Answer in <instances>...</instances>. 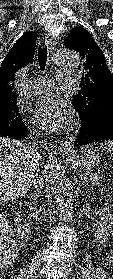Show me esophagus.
Returning <instances> with one entry per match:
<instances>
[{
    "label": "esophagus",
    "instance_id": "1",
    "mask_svg": "<svg viewBox=\"0 0 113 279\" xmlns=\"http://www.w3.org/2000/svg\"><path fill=\"white\" fill-rule=\"evenodd\" d=\"M44 43L48 46V49L50 51V53H52L54 51V38L51 34H48L45 36V39H44ZM53 67L56 69L57 66L56 65H53ZM74 140V136H67L65 139H63L61 142H60V151L63 152V153H68L71 148H72V141Z\"/></svg>",
    "mask_w": 113,
    "mask_h": 279
}]
</instances>
